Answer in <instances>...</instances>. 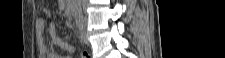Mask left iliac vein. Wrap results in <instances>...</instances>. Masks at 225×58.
I'll use <instances>...</instances> for the list:
<instances>
[{
    "label": "left iliac vein",
    "instance_id": "4c4485c4",
    "mask_svg": "<svg viewBox=\"0 0 225 58\" xmlns=\"http://www.w3.org/2000/svg\"><path fill=\"white\" fill-rule=\"evenodd\" d=\"M83 23H84V20L81 19L82 26L79 28L80 38L85 44H89L88 35L85 28L83 27Z\"/></svg>",
    "mask_w": 225,
    "mask_h": 58
}]
</instances>
